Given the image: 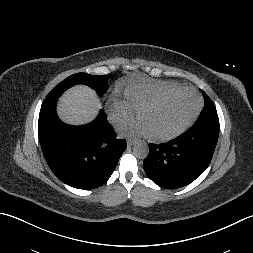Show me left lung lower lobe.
Segmentation results:
<instances>
[{"mask_svg":"<svg viewBox=\"0 0 253 253\" xmlns=\"http://www.w3.org/2000/svg\"><path fill=\"white\" fill-rule=\"evenodd\" d=\"M219 135V123L196 122L167 144H149L143 167L148 177L165 189L186 186L209 165Z\"/></svg>","mask_w":253,"mask_h":253,"instance_id":"1","label":"left lung lower lobe"}]
</instances>
